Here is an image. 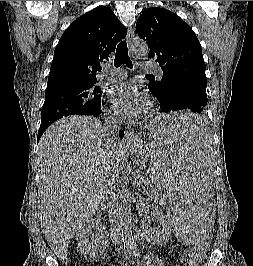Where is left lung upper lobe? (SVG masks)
<instances>
[{"label": "left lung upper lobe", "mask_w": 253, "mask_h": 266, "mask_svg": "<svg viewBox=\"0 0 253 266\" xmlns=\"http://www.w3.org/2000/svg\"><path fill=\"white\" fill-rule=\"evenodd\" d=\"M136 30L150 47L148 57L155 59L163 71L160 82L151 80L148 85L160 104L167 101L170 90L182 81H194L206 88L200 42L179 16L166 9L149 8L137 20Z\"/></svg>", "instance_id": "5c2ea615"}]
</instances>
